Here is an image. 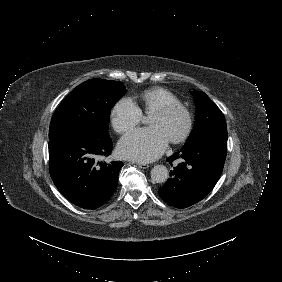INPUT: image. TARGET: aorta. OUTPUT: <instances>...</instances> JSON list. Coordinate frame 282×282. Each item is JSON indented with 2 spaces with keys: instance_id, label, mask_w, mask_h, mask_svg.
I'll use <instances>...</instances> for the list:
<instances>
[{
  "instance_id": "1",
  "label": "aorta",
  "mask_w": 282,
  "mask_h": 282,
  "mask_svg": "<svg viewBox=\"0 0 282 282\" xmlns=\"http://www.w3.org/2000/svg\"><path fill=\"white\" fill-rule=\"evenodd\" d=\"M169 177L168 168L164 165H155L151 170V178L156 183H163Z\"/></svg>"
}]
</instances>
